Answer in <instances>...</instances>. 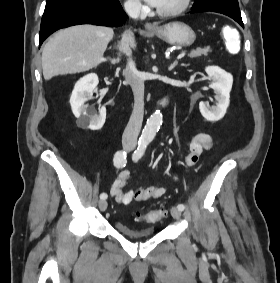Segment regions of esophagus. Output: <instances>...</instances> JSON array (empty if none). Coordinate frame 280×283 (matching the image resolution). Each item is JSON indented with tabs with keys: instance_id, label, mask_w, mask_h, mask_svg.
<instances>
[{
	"instance_id": "1",
	"label": "esophagus",
	"mask_w": 280,
	"mask_h": 283,
	"mask_svg": "<svg viewBox=\"0 0 280 283\" xmlns=\"http://www.w3.org/2000/svg\"><path fill=\"white\" fill-rule=\"evenodd\" d=\"M145 28H146L147 30H155V29L157 28V26L154 25V24H152V23H146V24H145Z\"/></svg>"
}]
</instances>
